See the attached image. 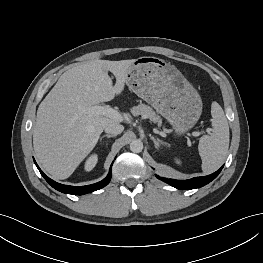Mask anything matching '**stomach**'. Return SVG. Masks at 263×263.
Instances as JSON below:
<instances>
[{
	"instance_id": "1",
	"label": "stomach",
	"mask_w": 263,
	"mask_h": 263,
	"mask_svg": "<svg viewBox=\"0 0 263 263\" xmlns=\"http://www.w3.org/2000/svg\"><path fill=\"white\" fill-rule=\"evenodd\" d=\"M126 84L162 115L178 135L193 128L201 116L199 93L174 65L163 59H134L127 70Z\"/></svg>"
}]
</instances>
